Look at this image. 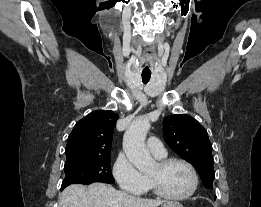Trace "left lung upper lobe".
Returning a JSON list of instances; mask_svg holds the SVG:
<instances>
[{
  "mask_svg": "<svg viewBox=\"0 0 261 207\" xmlns=\"http://www.w3.org/2000/svg\"><path fill=\"white\" fill-rule=\"evenodd\" d=\"M163 124L168 146L197 169L206 188L213 189L212 145L205 128L186 114L166 117Z\"/></svg>",
  "mask_w": 261,
  "mask_h": 207,
  "instance_id": "1",
  "label": "left lung upper lobe"
}]
</instances>
